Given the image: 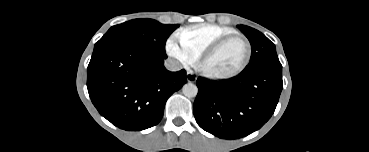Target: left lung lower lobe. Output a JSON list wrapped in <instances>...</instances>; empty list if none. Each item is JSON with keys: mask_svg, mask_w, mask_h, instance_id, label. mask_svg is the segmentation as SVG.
<instances>
[{"mask_svg": "<svg viewBox=\"0 0 369 152\" xmlns=\"http://www.w3.org/2000/svg\"><path fill=\"white\" fill-rule=\"evenodd\" d=\"M194 116L205 131L238 139L260 129L272 116L283 88L282 67H262L222 82L197 79Z\"/></svg>", "mask_w": 369, "mask_h": 152, "instance_id": "1", "label": "left lung lower lobe"}]
</instances>
